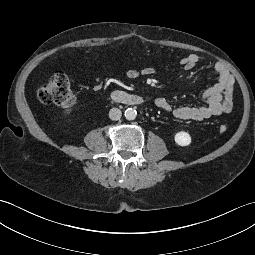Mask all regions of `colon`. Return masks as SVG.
I'll return each mask as SVG.
<instances>
[{
	"label": "colon",
	"mask_w": 255,
	"mask_h": 255,
	"mask_svg": "<svg viewBox=\"0 0 255 255\" xmlns=\"http://www.w3.org/2000/svg\"><path fill=\"white\" fill-rule=\"evenodd\" d=\"M37 97L45 104H53L61 107H70L75 101L70 80L62 72L52 74L44 84L40 85L37 89ZM218 131L225 133L227 126L220 124Z\"/></svg>",
	"instance_id": "1"
}]
</instances>
